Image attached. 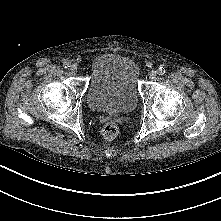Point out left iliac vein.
<instances>
[{
  "mask_svg": "<svg viewBox=\"0 0 221 221\" xmlns=\"http://www.w3.org/2000/svg\"><path fill=\"white\" fill-rule=\"evenodd\" d=\"M149 77H150V79H156V77H157V71H155V70H152V71H150L149 72Z\"/></svg>",
  "mask_w": 221,
  "mask_h": 221,
  "instance_id": "left-iliac-vein-1",
  "label": "left iliac vein"
}]
</instances>
